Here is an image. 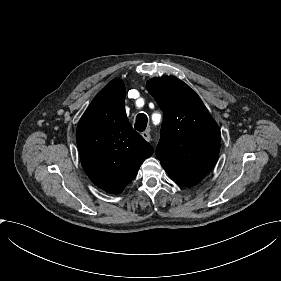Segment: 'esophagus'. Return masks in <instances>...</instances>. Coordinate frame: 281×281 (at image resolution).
<instances>
[{"label":"esophagus","mask_w":281,"mask_h":281,"mask_svg":"<svg viewBox=\"0 0 281 281\" xmlns=\"http://www.w3.org/2000/svg\"><path fill=\"white\" fill-rule=\"evenodd\" d=\"M141 135H142V137H143L146 141H150L151 136H150L149 132L143 131V132L141 133Z\"/></svg>","instance_id":"34e87169"}]
</instances>
